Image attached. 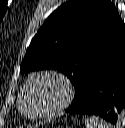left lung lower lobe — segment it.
<instances>
[{
    "instance_id": "obj_1",
    "label": "left lung lower lobe",
    "mask_w": 125,
    "mask_h": 128,
    "mask_svg": "<svg viewBox=\"0 0 125 128\" xmlns=\"http://www.w3.org/2000/svg\"><path fill=\"white\" fill-rule=\"evenodd\" d=\"M119 125L125 118V31L90 71L80 98L66 110Z\"/></svg>"
}]
</instances>
